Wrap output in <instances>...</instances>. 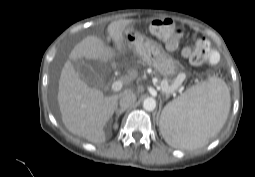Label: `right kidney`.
Masks as SVG:
<instances>
[{
	"label": "right kidney",
	"instance_id": "1",
	"mask_svg": "<svg viewBox=\"0 0 255 177\" xmlns=\"http://www.w3.org/2000/svg\"><path fill=\"white\" fill-rule=\"evenodd\" d=\"M118 128V125H117V123L114 125V129H117Z\"/></svg>",
	"mask_w": 255,
	"mask_h": 177
}]
</instances>
